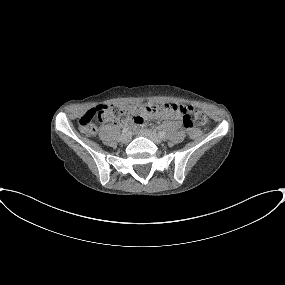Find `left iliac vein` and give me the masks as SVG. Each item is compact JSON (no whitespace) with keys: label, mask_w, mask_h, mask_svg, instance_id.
Wrapping results in <instances>:
<instances>
[{"label":"left iliac vein","mask_w":285,"mask_h":285,"mask_svg":"<svg viewBox=\"0 0 285 285\" xmlns=\"http://www.w3.org/2000/svg\"><path fill=\"white\" fill-rule=\"evenodd\" d=\"M142 135L148 139H150L151 141H153L156 144H159L162 142L163 138L156 134L155 132H153L152 130L149 129H144L142 130Z\"/></svg>","instance_id":"obj_1"}]
</instances>
